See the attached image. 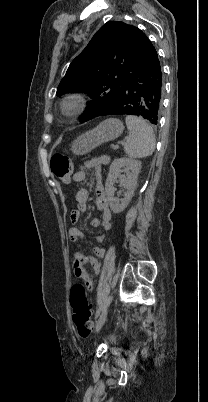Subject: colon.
<instances>
[{
  "label": "colon",
  "instance_id": "1",
  "mask_svg": "<svg viewBox=\"0 0 208 402\" xmlns=\"http://www.w3.org/2000/svg\"><path fill=\"white\" fill-rule=\"evenodd\" d=\"M50 170L56 178L68 183L72 178V162L67 153H55L50 160ZM73 321L83 338L91 334V307L82 284L75 283L71 289Z\"/></svg>",
  "mask_w": 208,
  "mask_h": 402
}]
</instances>
